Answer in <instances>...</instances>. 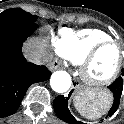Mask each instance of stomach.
I'll use <instances>...</instances> for the list:
<instances>
[{"mask_svg": "<svg viewBox=\"0 0 124 124\" xmlns=\"http://www.w3.org/2000/svg\"><path fill=\"white\" fill-rule=\"evenodd\" d=\"M78 95L81 96L90 95L94 100L98 99L100 96H105L106 98H109L111 100L110 94L105 91H93L84 87H78Z\"/></svg>", "mask_w": 124, "mask_h": 124, "instance_id": "0dacf381", "label": "stomach"}]
</instances>
